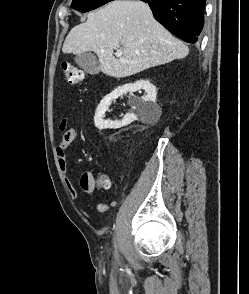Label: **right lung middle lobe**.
<instances>
[{
  "mask_svg": "<svg viewBox=\"0 0 249 294\" xmlns=\"http://www.w3.org/2000/svg\"><path fill=\"white\" fill-rule=\"evenodd\" d=\"M113 0H73L71 7L81 12L96 9Z\"/></svg>",
  "mask_w": 249,
  "mask_h": 294,
  "instance_id": "1",
  "label": "right lung middle lobe"
}]
</instances>
